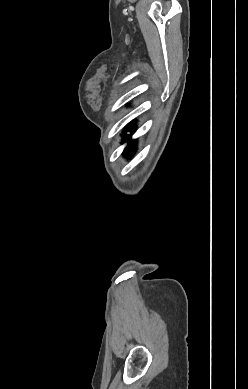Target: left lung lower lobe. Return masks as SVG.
I'll return each mask as SVG.
<instances>
[{
  "mask_svg": "<svg viewBox=\"0 0 248 389\" xmlns=\"http://www.w3.org/2000/svg\"><path fill=\"white\" fill-rule=\"evenodd\" d=\"M131 125H133V124H131ZM126 131H130L131 134L133 133V130L131 129V127H128ZM123 137L125 138V141H127V140H129V138H131V135L124 134ZM135 149H136L135 141L130 140L128 143V146L124 150V154L127 156H131V154L133 153V151Z\"/></svg>",
  "mask_w": 248,
  "mask_h": 389,
  "instance_id": "1",
  "label": "left lung lower lobe"
}]
</instances>
